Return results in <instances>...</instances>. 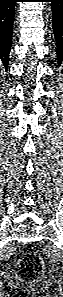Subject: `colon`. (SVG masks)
Wrapping results in <instances>:
<instances>
[{
  "instance_id": "5ec220e1",
  "label": "colon",
  "mask_w": 63,
  "mask_h": 297,
  "mask_svg": "<svg viewBox=\"0 0 63 297\" xmlns=\"http://www.w3.org/2000/svg\"><path fill=\"white\" fill-rule=\"evenodd\" d=\"M41 260L34 254L24 256L18 265V274L22 278L35 279L42 274Z\"/></svg>"
}]
</instances>
